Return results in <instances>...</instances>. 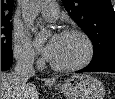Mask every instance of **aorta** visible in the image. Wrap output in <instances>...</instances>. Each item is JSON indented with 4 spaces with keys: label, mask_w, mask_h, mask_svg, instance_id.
Listing matches in <instances>:
<instances>
[{
    "label": "aorta",
    "mask_w": 115,
    "mask_h": 99,
    "mask_svg": "<svg viewBox=\"0 0 115 99\" xmlns=\"http://www.w3.org/2000/svg\"><path fill=\"white\" fill-rule=\"evenodd\" d=\"M42 5H43L42 0H30V1H28L26 3V5L24 6V9H23L24 20L26 22L32 23ZM36 40H38V41L43 40V33L42 32L36 33Z\"/></svg>",
    "instance_id": "1"
}]
</instances>
